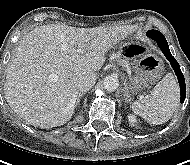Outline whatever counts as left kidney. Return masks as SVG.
<instances>
[{
	"label": "left kidney",
	"mask_w": 190,
	"mask_h": 165,
	"mask_svg": "<svg viewBox=\"0 0 190 165\" xmlns=\"http://www.w3.org/2000/svg\"><path fill=\"white\" fill-rule=\"evenodd\" d=\"M128 121L130 123L131 126H135L136 122H137V119L134 115L130 114L128 116Z\"/></svg>",
	"instance_id": "1"
}]
</instances>
